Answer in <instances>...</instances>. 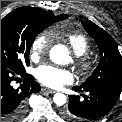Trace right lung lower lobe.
Wrapping results in <instances>:
<instances>
[{
    "instance_id": "right-lung-lower-lobe-1",
    "label": "right lung lower lobe",
    "mask_w": 122,
    "mask_h": 122,
    "mask_svg": "<svg viewBox=\"0 0 122 122\" xmlns=\"http://www.w3.org/2000/svg\"><path fill=\"white\" fill-rule=\"evenodd\" d=\"M23 77L24 82L14 89L11 82ZM40 91V85L26 71H14L1 65V122H21L27 109V97Z\"/></svg>"
}]
</instances>
